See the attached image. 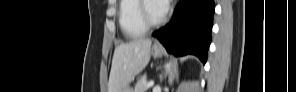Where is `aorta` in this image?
I'll return each mask as SVG.
<instances>
[{"label": "aorta", "mask_w": 296, "mask_h": 92, "mask_svg": "<svg viewBox=\"0 0 296 92\" xmlns=\"http://www.w3.org/2000/svg\"><path fill=\"white\" fill-rule=\"evenodd\" d=\"M170 67H171V62L166 65V73L170 71Z\"/></svg>", "instance_id": "762f6f07"}]
</instances>
